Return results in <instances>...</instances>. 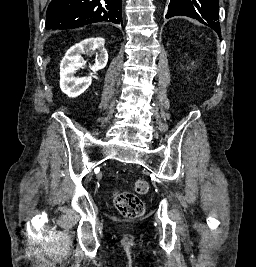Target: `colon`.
Segmentation results:
<instances>
[{
	"label": "colon",
	"mask_w": 256,
	"mask_h": 267,
	"mask_svg": "<svg viewBox=\"0 0 256 267\" xmlns=\"http://www.w3.org/2000/svg\"><path fill=\"white\" fill-rule=\"evenodd\" d=\"M134 188L136 192H147L149 185L146 181L139 180L135 183ZM132 195V196H131ZM114 205L121 216L125 218H137L140 217L145 211V204L133 193H126L121 197H116Z\"/></svg>",
	"instance_id": "1"
}]
</instances>
